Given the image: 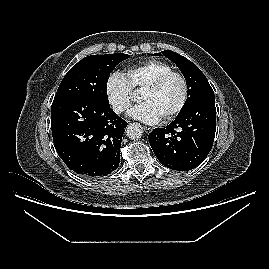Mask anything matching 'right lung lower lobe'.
<instances>
[{
    "label": "right lung lower lobe",
    "mask_w": 269,
    "mask_h": 269,
    "mask_svg": "<svg viewBox=\"0 0 269 269\" xmlns=\"http://www.w3.org/2000/svg\"><path fill=\"white\" fill-rule=\"evenodd\" d=\"M127 126L108 104L91 99H54L51 129L54 146L67 167L87 178L118 168Z\"/></svg>",
    "instance_id": "1"
}]
</instances>
